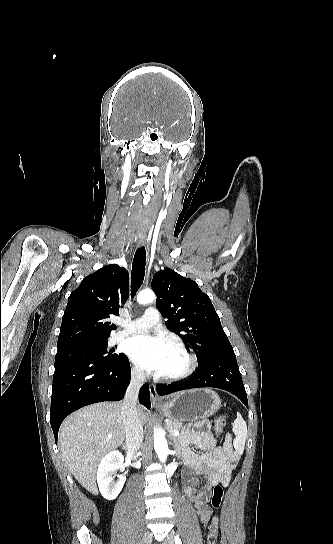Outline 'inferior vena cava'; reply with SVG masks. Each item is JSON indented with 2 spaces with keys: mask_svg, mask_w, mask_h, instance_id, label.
Segmentation results:
<instances>
[{
  "mask_svg": "<svg viewBox=\"0 0 333 544\" xmlns=\"http://www.w3.org/2000/svg\"><path fill=\"white\" fill-rule=\"evenodd\" d=\"M144 382V371L140 368H133L131 383L121 404V414L126 433V449L129 455H134L143 442V427L137 407V395Z\"/></svg>",
  "mask_w": 333,
  "mask_h": 544,
  "instance_id": "602c4592",
  "label": "inferior vena cava"
}]
</instances>
